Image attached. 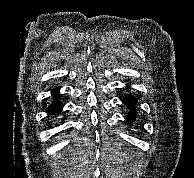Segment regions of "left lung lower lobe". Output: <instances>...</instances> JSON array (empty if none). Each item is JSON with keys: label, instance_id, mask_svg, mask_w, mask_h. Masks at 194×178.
Segmentation results:
<instances>
[{"label": "left lung lower lobe", "instance_id": "left-lung-lower-lobe-1", "mask_svg": "<svg viewBox=\"0 0 194 178\" xmlns=\"http://www.w3.org/2000/svg\"><path fill=\"white\" fill-rule=\"evenodd\" d=\"M130 86H127L129 88ZM124 104L127 106L129 109V113L126 116V120L132 124L134 121L137 119V113H138V108H137V99L131 95L128 94V96H125L122 100Z\"/></svg>", "mask_w": 194, "mask_h": 178}]
</instances>
